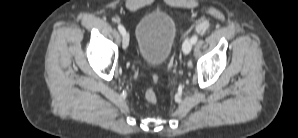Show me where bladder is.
Here are the masks:
<instances>
[{
	"label": "bladder",
	"instance_id": "obj_1",
	"mask_svg": "<svg viewBox=\"0 0 298 138\" xmlns=\"http://www.w3.org/2000/svg\"><path fill=\"white\" fill-rule=\"evenodd\" d=\"M173 37V27L168 20L154 18L147 21L137 30V47L142 59L151 66L162 62ZM157 44L155 52L151 45Z\"/></svg>",
	"mask_w": 298,
	"mask_h": 138
}]
</instances>
